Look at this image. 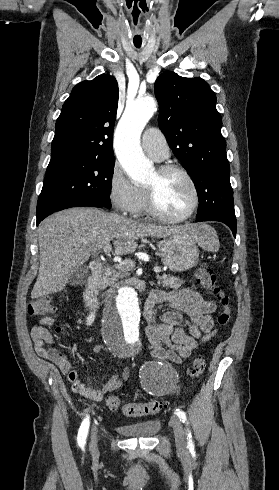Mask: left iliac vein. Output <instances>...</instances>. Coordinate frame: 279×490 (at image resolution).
Returning <instances> with one entry per match:
<instances>
[{"label": "left iliac vein", "instance_id": "1", "mask_svg": "<svg viewBox=\"0 0 279 490\" xmlns=\"http://www.w3.org/2000/svg\"><path fill=\"white\" fill-rule=\"evenodd\" d=\"M170 425L174 431L177 451L179 453L185 452L187 449V444L185 441V432L181 420L175 416H172L170 419Z\"/></svg>", "mask_w": 279, "mask_h": 490}]
</instances>
